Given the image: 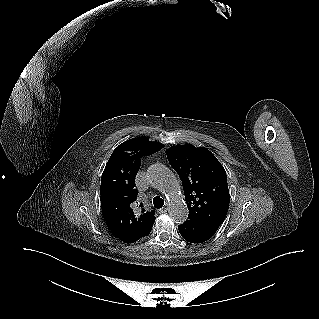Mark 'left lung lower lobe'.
Wrapping results in <instances>:
<instances>
[{"label":"left lung lower lobe","instance_id":"left-lung-lower-lobe-1","mask_svg":"<svg viewBox=\"0 0 319 319\" xmlns=\"http://www.w3.org/2000/svg\"><path fill=\"white\" fill-rule=\"evenodd\" d=\"M219 226L205 224L197 221L186 220L178 226L181 236L191 243H202L210 239L218 230Z\"/></svg>","mask_w":319,"mask_h":319}]
</instances>
